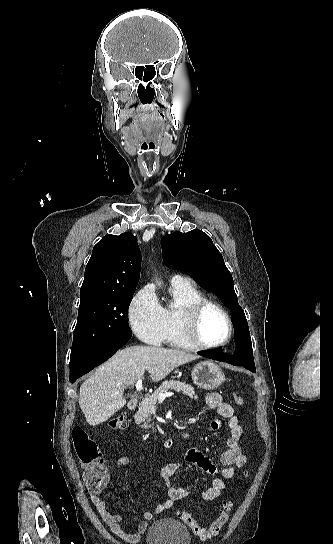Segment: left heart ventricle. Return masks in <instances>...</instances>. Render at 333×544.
I'll list each match as a JSON object with an SVG mask.
<instances>
[{"instance_id": "left-heart-ventricle-1", "label": "left heart ventricle", "mask_w": 333, "mask_h": 544, "mask_svg": "<svg viewBox=\"0 0 333 544\" xmlns=\"http://www.w3.org/2000/svg\"><path fill=\"white\" fill-rule=\"evenodd\" d=\"M198 331L204 343L223 341L228 335V326L222 312L215 307H208L201 316Z\"/></svg>"}]
</instances>
